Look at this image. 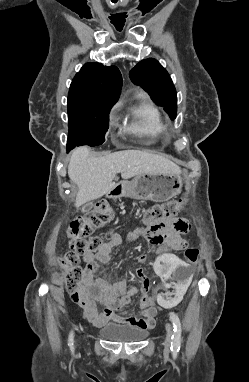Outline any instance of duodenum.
I'll use <instances>...</instances> for the list:
<instances>
[{
    "label": "duodenum",
    "instance_id": "obj_1",
    "mask_svg": "<svg viewBox=\"0 0 249 382\" xmlns=\"http://www.w3.org/2000/svg\"><path fill=\"white\" fill-rule=\"evenodd\" d=\"M115 188V185L111 188V190L108 192V196H109V193L112 191V189ZM122 189V188H121ZM110 197V196H109ZM111 198V197H110Z\"/></svg>",
    "mask_w": 249,
    "mask_h": 382
}]
</instances>
